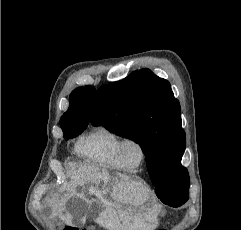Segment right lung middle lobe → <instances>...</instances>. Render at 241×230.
I'll use <instances>...</instances> for the list:
<instances>
[{
    "mask_svg": "<svg viewBox=\"0 0 241 230\" xmlns=\"http://www.w3.org/2000/svg\"><path fill=\"white\" fill-rule=\"evenodd\" d=\"M85 128H70V129H63V133H64V138L68 139V138H74L76 136H78L79 134H81L83 132Z\"/></svg>",
    "mask_w": 241,
    "mask_h": 230,
    "instance_id": "dd1d6c3e",
    "label": "right lung middle lobe"
}]
</instances>
